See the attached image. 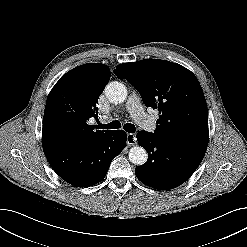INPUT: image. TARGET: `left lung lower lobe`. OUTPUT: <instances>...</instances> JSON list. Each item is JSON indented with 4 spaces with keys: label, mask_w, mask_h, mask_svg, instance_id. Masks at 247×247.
Segmentation results:
<instances>
[{
    "label": "left lung lower lobe",
    "mask_w": 247,
    "mask_h": 247,
    "mask_svg": "<svg viewBox=\"0 0 247 247\" xmlns=\"http://www.w3.org/2000/svg\"><path fill=\"white\" fill-rule=\"evenodd\" d=\"M136 137L148 152V161L138 166L135 174L142 183L159 190L175 188L188 180L206 152L164 141L145 131Z\"/></svg>",
    "instance_id": "left-lung-lower-lobe-1"
}]
</instances>
